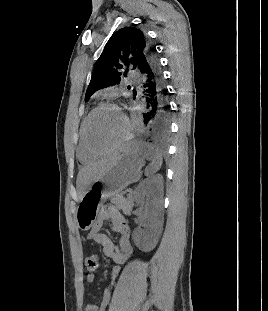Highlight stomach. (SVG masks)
<instances>
[{"mask_svg": "<svg viewBox=\"0 0 268 311\" xmlns=\"http://www.w3.org/2000/svg\"><path fill=\"white\" fill-rule=\"evenodd\" d=\"M147 154L148 149L145 146L124 148L104 174L90 185L76 208L75 220L80 230L88 231L93 226L102 204L107 199L140 179Z\"/></svg>", "mask_w": 268, "mask_h": 311, "instance_id": "stomach-1", "label": "stomach"}]
</instances>
